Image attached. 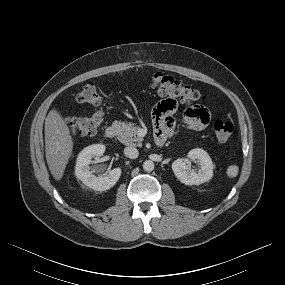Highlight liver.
Instances as JSON below:
<instances>
[{
  "mask_svg": "<svg viewBox=\"0 0 285 285\" xmlns=\"http://www.w3.org/2000/svg\"><path fill=\"white\" fill-rule=\"evenodd\" d=\"M73 144L67 123L56 109H52L45 119V152L49 170L57 181L63 177Z\"/></svg>",
  "mask_w": 285,
  "mask_h": 285,
  "instance_id": "obj_1",
  "label": "liver"
}]
</instances>
